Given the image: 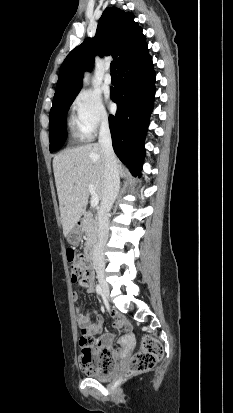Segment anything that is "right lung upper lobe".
I'll use <instances>...</instances> for the list:
<instances>
[{
	"mask_svg": "<svg viewBox=\"0 0 233 413\" xmlns=\"http://www.w3.org/2000/svg\"><path fill=\"white\" fill-rule=\"evenodd\" d=\"M142 28L134 15L116 7H108L99 19L95 38L85 39L65 58L59 71L53 104L79 93L85 70H92L96 54L112 55L116 67L145 44Z\"/></svg>",
	"mask_w": 233,
	"mask_h": 413,
	"instance_id": "right-lung-upper-lobe-1",
	"label": "right lung upper lobe"
}]
</instances>
